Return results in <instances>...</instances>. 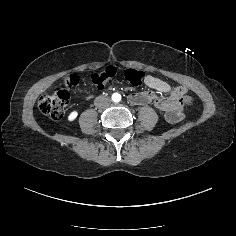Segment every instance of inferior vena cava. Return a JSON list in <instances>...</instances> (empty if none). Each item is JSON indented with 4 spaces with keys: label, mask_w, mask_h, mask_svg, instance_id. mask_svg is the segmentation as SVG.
Wrapping results in <instances>:
<instances>
[{
    "label": "inferior vena cava",
    "mask_w": 236,
    "mask_h": 236,
    "mask_svg": "<svg viewBox=\"0 0 236 236\" xmlns=\"http://www.w3.org/2000/svg\"><path fill=\"white\" fill-rule=\"evenodd\" d=\"M94 103L100 107H106L110 105L111 100L108 97L100 96L95 99Z\"/></svg>",
    "instance_id": "1"
}]
</instances>
